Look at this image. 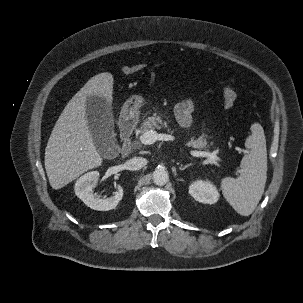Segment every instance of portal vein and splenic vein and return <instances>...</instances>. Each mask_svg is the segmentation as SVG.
<instances>
[{
    "label": "portal vein and splenic vein",
    "instance_id": "1",
    "mask_svg": "<svg viewBox=\"0 0 303 303\" xmlns=\"http://www.w3.org/2000/svg\"><path fill=\"white\" fill-rule=\"evenodd\" d=\"M157 140L174 141L175 137L169 134H158L156 131L153 130L143 133L140 137V141L144 145L153 144ZM190 154L194 157H207L211 161H222L220 157H218L215 153L211 152L191 150Z\"/></svg>",
    "mask_w": 303,
    "mask_h": 303
}]
</instances>
